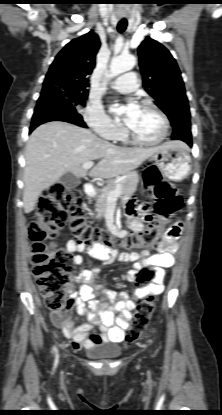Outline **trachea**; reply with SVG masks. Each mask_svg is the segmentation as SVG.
Returning a JSON list of instances; mask_svg holds the SVG:
<instances>
[{
    "label": "trachea",
    "mask_w": 222,
    "mask_h": 415,
    "mask_svg": "<svg viewBox=\"0 0 222 415\" xmlns=\"http://www.w3.org/2000/svg\"><path fill=\"white\" fill-rule=\"evenodd\" d=\"M127 28V21L125 19L121 20L117 25V30L119 33H123Z\"/></svg>",
    "instance_id": "1"
}]
</instances>
